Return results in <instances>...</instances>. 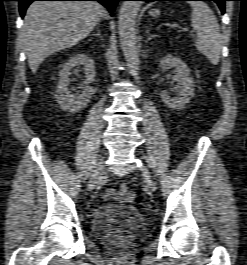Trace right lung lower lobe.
Listing matches in <instances>:
<instances>
[{"label":"right lung lower lobe","instance_id":"obj_1","mask_svg":"<svg viewBox=\"0 0 247 265\" xmlns=\"http://www.w3.org/2000/svg\"><path fill=\"white\" fill-rule=\"evenodd\" d=\"M18 1H19V11H20L21 17H23L27 7L33 1H98L99 3L104 5L112 15L115 10V6L117 2L123 1V0H18Z\"/></svg>","mask_w":247,"mask_h":265}]
</instances>
